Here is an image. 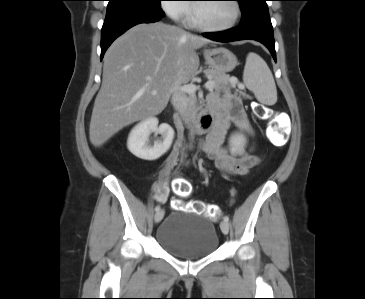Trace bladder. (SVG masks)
Listing matches in <instances>:
<instances>
[{
    "label": "bladder",
    "instance_id": "obj_1",
    "mask_svg": "<svg viewBox=\"0 0 365 299\" xmlns=\"http://www.w3.org/2000/svg\"><path fill=\"white\" fill-rule=\"evenodd\" d=\"M156 242L176 257L198 259L216 251L219 237L211 219L178 209L158 227Z\"/></svg>",
    "mask_w": 365,
    "mask_h": 299
}]
</instances>
